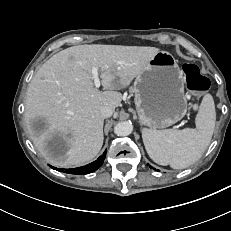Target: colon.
Segmentation results:
<instances>
[{"label":"colon","instance_id":"obj_1","mask_svg":"<svg viewBox=\"0 0 231 231\" xmlns=\"http://www.w3.org/2000/svg\"><path fill=\"white\" fill-rule=\"evenodd\" d=\"M183 72L190 90L194 92H203L209 88L210 82L208 78L200 73L196 65L190 63L184 64Z\"/></svg>","mask_w":231,"mask_h":231}]
</instances>
